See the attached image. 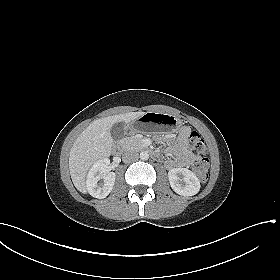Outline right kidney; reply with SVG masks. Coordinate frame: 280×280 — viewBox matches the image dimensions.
<instances>
[{"label": "right kidney", "instance_id": "obj_1", "mask_svg": "<svg viewBox=\"0 0 280 280\" xmlns=\"http://www.w3.org/2000/svg\"><path fill=\"white\" fill-rule=\"evenodd\" d=\"M109 165L107 158L101 159L93 164L87 175L86 188L88 193L98 199L106 198L112 191L116 174L114 172H107ZM103 180L102 184L98 182Z\"/></svg>", "mask_w": 280, "mask_h": 280}]
</instances>
